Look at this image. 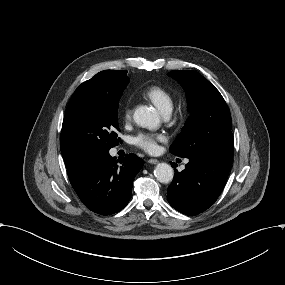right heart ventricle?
I'll list each match as a JSON object with an SVG mask.
<instances>
[{
    "label": "right heart ventricle",
    "instance_id": "e07e8e85",
    "mask_svg": "<svg viewBox=\"0 0 285 285\" xmlns=\"http://www.w3.org/2000/svg\"><path fill=\"white\" fill-rule=\"evenodd\" d=\"M142 95L152 101L163 112L170 110L173 103L171 92L159 84L148 85L143 90Z\"/></svg>",
    "mask_w": 285,
    "mask_h": 285
}]
</instances>
